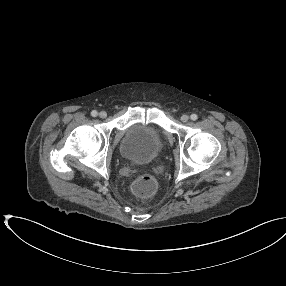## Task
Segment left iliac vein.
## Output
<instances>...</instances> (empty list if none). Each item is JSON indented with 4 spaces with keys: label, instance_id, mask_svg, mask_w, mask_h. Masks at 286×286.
Returning a JSON list of instances; mask_svg holds the SVG:
<instances>
[{
    "label": "left iliac vein",
    "instance_id": "left-iliac-vein-1",
    "mask_svg": "<svg viewBox=\"0 0 286 286\" xmlns=\"http://www.w3.org/2000/svg\"><path fill=\"white\" fill-rule=\"evenodd\" d=\"M188 120H189V116L188 115L184 114V115L181 116V121L182 122H187Z\"/></svg>",
    "mask_w": 286,
    "mask_h": 286
}]
</instances>
